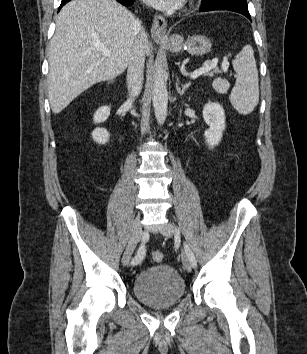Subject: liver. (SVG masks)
<instances>
[{"mask_svg": "<svg viewBox=\"0 0 307 354\" xmlns=\"http://www.w3.org/2000/svg\"><path fill=\"white\" fill-rule=\"evenodd\" d=\"M136 21L115 0H72L61 9L48 56V93L54 114L94 84L125 71L137 37ZM97 45L107 47L110 56L104 57ZM145 53L150 54L148 39Z\"/></svg>", "mask_w": 307, "mask_h": 354, "instance_id": "1", "label": "liver"}]
</instances>
